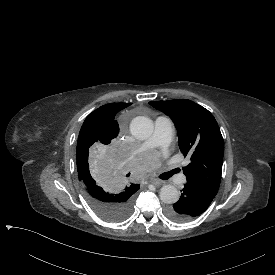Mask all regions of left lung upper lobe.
Segmentation results:
<instances>
[{
  "instance_id": "left-lung-upper-lobe-1",
  "label": "left lung upper lobe",
  "mask_w": 275,
  "mask_h": 275,
  "mask_svg": "<svg viewBox=\"0 0 275 275\" xmlns=\"http://www.w3.org/2000/svg\"><path fill=\"white\" fill-rule=\"evenodd\" d=\"M168 115L177 128L179 148L191 162L183 167L187 182L196 183L217 194L222 172L224 142L213 115L187 99L151 101Z\"/></svg>"
}]
</instances>
